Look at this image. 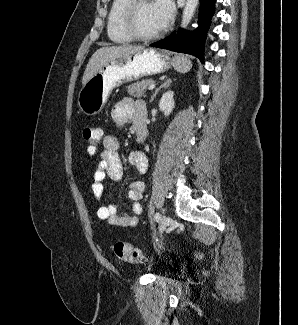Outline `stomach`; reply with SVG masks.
Listing matches in <instances>:
<instances>
[{"label":"stomach","instance_id":"obj_1","mask_svg":"<svg viewBox=\"0 0 298 325\" xmlns=\"http://www.w3.org/2000/svg\"><path fill=\"white\" fill-rule=\"evenodd\" d=\"M187 56L179 62L187 64ZM176 60H171L167 52L159 48H144L136 54H125L102 64L98 72L82 86L78 94V106L84 114H98L104 108L112 90L125 82L139 80L143 76L160 74L171 68Z\"/></svg>","mask_w":298,"mask_h":325}]
</instances>
